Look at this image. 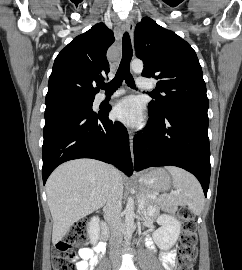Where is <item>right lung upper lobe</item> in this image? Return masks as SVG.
Wrapping results in <instances>:
<instances>
[{"instance_id": "1", "label": "right lung upper lobe", "mask_w": 242, "mask_h": 270, "mask_svg": "<svg viewBox=\"0 0 242 270\" xmlns=\"http://www.w3.org/2000/svg\"><path fill=\"white\" fill-rule=\"evenodd\" d=\"M114 40L103 23L74 38L54 61L46 107L94 99L109 73L106 52Z\"/></svg>"}]
</instances>
